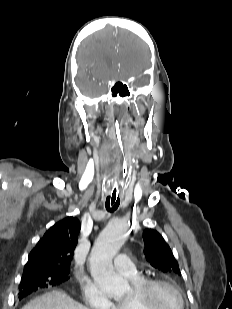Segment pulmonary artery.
<instances>
[{
    "instance_id": "e3ab8cb5",
    "label": "pulmonary artery",
    "mask_w": 232,
    "mask_h": 309,
    "mask_svg": "<svg viewBox=\"0 0 232 309\" xmlns=\"http://www.w3.org/2000/svg\"><path fill=\"white\" fill-rule=\"evenodd\" d=\"M114 265L116 270L126 277H135L138 275L135 264L127 254H119L114 260Z\"/></svg>"
}]
</instances>
